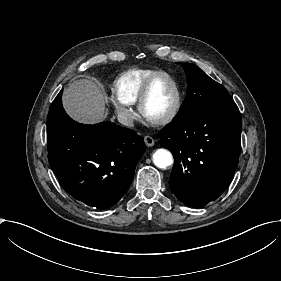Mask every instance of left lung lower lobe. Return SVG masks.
<instances>
[{"label": "left lung lower lobe", "instance_id": "obj_1", "mask_svg": "<svg viewBox=\"0 0 281 281\" xmlns=\"http://www.w3.org/2000/svg\"><path fill=\"white\" fill-rule=\"evenodd\" d=\"M241 129L234 104L179 118L159 133L174 156L169 184L181 202L201 208L224 192L237 168Z\"/></svg>", "mask_w": 281, "mask_h": 281}]
</instances>
